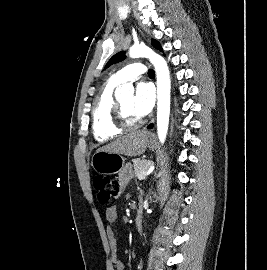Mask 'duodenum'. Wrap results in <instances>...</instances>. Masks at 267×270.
<instances>
[{"label": "duodenum", "mask_w": 267, "mask_h": 270, "mask_svg": "<svg viewBox=\"0 0 267 270\" xmlns=\"http://www.w3.org/2000/svg\"><path fill=\"white\" fill-rule=\"evenodd\" d=\"M140 202V206L138 209V213L137 216L134 220L135 226L138 230H140L142 228V224H143V209H142V199H139Z\"/></svg>", "instance_id": "1"}]
</instances>
